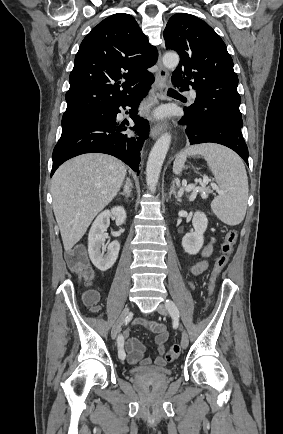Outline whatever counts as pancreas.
Listing matches in <instances>:
<instances>
[{"mask_svg": "<svg viewBox=\"0 0 283 434\" xmlns=\"http://www.w3.org/2000/svg\"><path fill=\"white\" fill-rule=\"evenodd\" d=\"M197 192H200L201 197H202L203 199H207L208 194H210L212 191H211L210 188L205 187V186H202V187H198V188H196L193 194H195V193H197Z\"/></svg>", "mask_w": 283, "mask_h": 434, "instance_id": "obj_1", "label": "pancreas"}]
</instances>
